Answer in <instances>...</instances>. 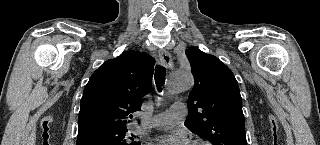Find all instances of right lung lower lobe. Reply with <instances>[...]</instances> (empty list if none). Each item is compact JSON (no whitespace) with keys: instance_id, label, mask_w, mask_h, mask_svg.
<instances>
[{"instance_id":"obj_1","label":"right lung lower lobe","mask_w":320,"mask_h":145,"mask_svg":"<svg viewBox=\"0 0 320 145\" xmlns=\"http://www.w3.org/2000/svg\"><path fill=\"white\" fill-rule=\"evenodd\" d=\"M77 145H106V144L98 141H87V142L77 143Z\"/></svg>"}]
</instances>
